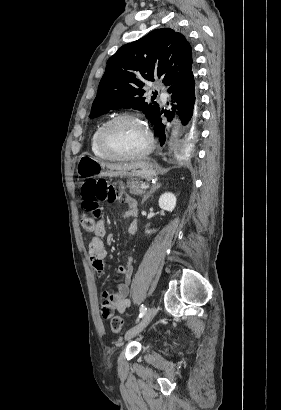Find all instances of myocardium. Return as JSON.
<instances>
[{
  "mask_svg": "<svg viewBox=\"0 0 281 410\" xmlns=\"http://www.w3.org/2000/svg\"><path fill=\"white\" fill-rule=\"evenodd\" d=\"M120 120H131L134 122L139 123L145 130L148 138V142L146 147L137 153L133 154H121L115 150H113L107 143V133L109 129L118 121ZM98 145L99 148L102 150L104 154H106L110 159H115V160H133V159H139L147 156L148 154L151 153V151L154 148V138L153 135L147 125V123L140 118L139 116L132 114V113H120L115 115L114 117L110 118L108 121H106L99 133H98Z\"/></svg>",
  "mask_w": 281,
  "mask_h": 410,
  "instance_id": "obj_1",
  "label": "myocardium"
}]
</instances>
